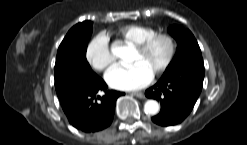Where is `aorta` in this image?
<instances>
[{
	"instance_id": "762f6f07",
	"label": "aorta",
	"mask_w": 247,
	"mask_h": 145,
	"mask_svg": "<svg viewBox=\"0 0 247 145\" xmlns=\"http://www.w3.org/2000/svg\"><path fill=\"white\" fill-rule=\"evenodd\" d=\"M128 52V49L124 46L115 45L112 47V53L119 58H123ZM160 106L156 100H148L144 104V110L146 114L155 115L158 113Z\"/></svg>"
}]
</instances>
